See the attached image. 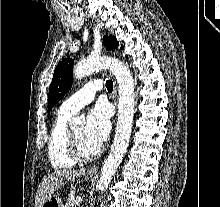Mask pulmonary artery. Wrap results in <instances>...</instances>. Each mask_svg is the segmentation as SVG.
<instances>
[{
    "label": "pulmonary artery",
    "instance_id": "pulmonary-artery-1",
    "mask_svg": "<svg viewBox=\"0 0 220 207\" xmlns=\"http://www.w3.org/2000/svg\"><path fill=\"white\" fill-rule=\"evenodd\" d=\"M102 87V82L98 79L86 83L61 104L60 112L69 115L75 114L89 104L94 99L96 92L101 90Z\"/></svg>",
    "mask_w": 220,
    "mask_h": 207
}]
</instances>
